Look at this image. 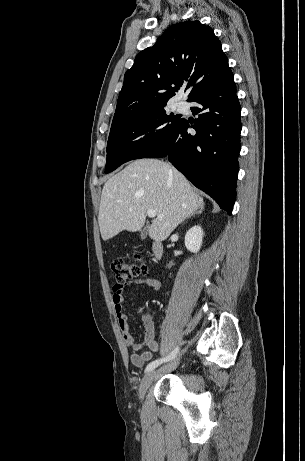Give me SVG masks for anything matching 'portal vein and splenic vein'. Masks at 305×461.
Masks as SVG:
<instances>
[{"label":"portal vein and splenic vein","instance_id":"1","mask_svg":"<svg viewBox=\"0 0 305 461\" xmlns=\"http://www.w3.org/2000/svg\"><path fill=\"white\" fill-rule=\"evenodd\" d=\"M147 215H148V217H150V218H154V217L157 215V213H156L155 210L149 209V210H147ZM162 217H163V215H158V216H157V218H162Z\"/></svg>","mask_w":305,"mask_h":461}]
</instances>
